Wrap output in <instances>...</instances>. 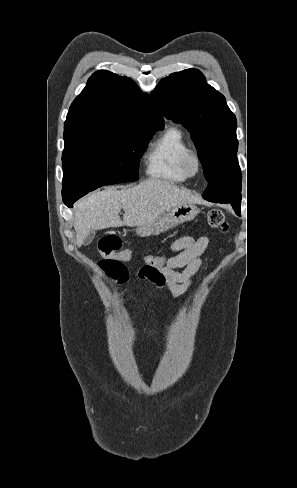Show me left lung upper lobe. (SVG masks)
<instances>
[{"mask_svg": "<svg viewBox=\"0 0 297 488\" xmlns=\"http://www.w3.org/2000/svg\"><path fill=\"white\" fill-rule=\"evenodd\" d=\"M168 119L191 133L208 181L203 198L241 206V170L237 160V120L222 94L206 83L197 69L163 78L151 93Z\"/></svg>", "mask_w": 297, "mask_h": 488, "instance_id": "left-lung-upper-lobe-1", "label": "left lung upper lobe"}]
</instances>
